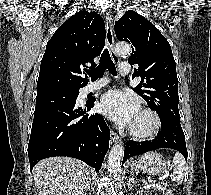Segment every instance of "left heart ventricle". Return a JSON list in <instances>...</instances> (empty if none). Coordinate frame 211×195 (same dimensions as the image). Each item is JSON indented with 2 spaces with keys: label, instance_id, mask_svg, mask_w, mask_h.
<instances>
[{
  "label": "left heart ventricle",
  "instance_id": "obj_1",
  "mask_svg": "<svg viewBox=\"0 0 211 195\" xmlns=\"http://www.w3.org/2000/svg\"><path fill=\"white\" fill-rule=\"evenodd\" d=\"M131 126L137 130L146 131L152 126V119L139 112Z\"/></svg>",
  "mask_w": 211,
  "mask_h": 195
}]
</instances>
